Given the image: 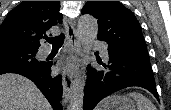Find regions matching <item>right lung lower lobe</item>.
I'll return each instance as SVG.
<instances>
[{"mask_svg": "<svg viewBox=\"0 0 171 110\" xmlns=\"http://www.w3.org/2000/svg\"><path fill=\"white\" fill-rule=\"evenodd\" d=\"M52 62H44L39 67H20L13 70L0 72L4 73H17L32 80L36 86L45 95L54 110H62L60 100L62 99V79L58 75L51 76Z\"/></svg>", "mask_w": 171, "mask_h": 110, "instance_id": "obj_1", "label": "right lung lower lobe"}]
</instances>
